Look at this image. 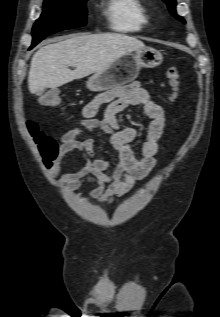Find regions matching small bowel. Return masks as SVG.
Wrapping results in <instances>:
<instances>
[{"instance_id":"small-bowel-1","label":"small bowel","mask_w":220,"mask_h":317,"mask_svg":"<svg viewBox=\"0 0 220 317\" xmlns=\"http://www.w3.org/2000/svg\"><path fill=\"white\" fill-rule=\"evenodd\" d=\"M106 105L103 118H97L101 106ZM129 106H142L147 116L144 137L138 147L132 143L139 132L134 127L122 128L117 115ZM83 119L60 137V149L50 171L72 192L83 184L94 185L89 197L99 203H111L146 178L156 165V155L166 140L165 115L162 107L152 100L140 82L99 93L83 109ZM103 132L115 154L110 159L94 156L92 134ZM79 151L85 165L74 173L63 174L59 160L68 152ZM113 168L111 173L108 170Z\"/></svg>"}]
</instances>
